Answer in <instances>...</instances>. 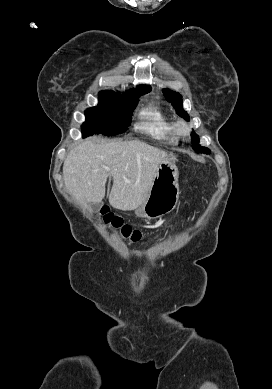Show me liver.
<instances>
[{
    "instance_id": "obj_1",
    "label": "liver",
    "mask_w": 272,
    "mask_h": 389,
    "mask_svg": "<svg viewBox=\"0 0 272 389\" xmlns=\"http://www.w3.org/2000/svg\"><path fill=\"white\" fill-rule=\"evenodd\" d=\"M167 152L140 140L103 142L87 139L75 146L63 165L66 189L81 204L101 203L109 177L112 207L137 209L147 198L159 164Z\"/></svg>"
}]
</instances>
